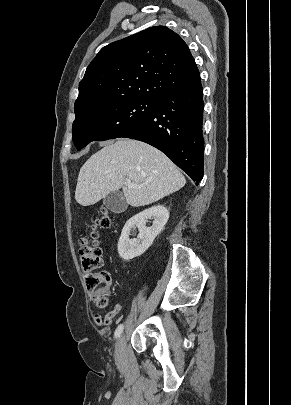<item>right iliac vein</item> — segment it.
I'll return each mask as SVG.
<instances>
[{
  "mask_svg": "<svg viewBox=\"0 0 291 405\" xmlns=\"http://www.w3.org/2000/svg\"><path fill=\"white\" fill-rule=\"evenodd\" d=\"M116 359L118 362H123L125 359V351H126V340L123 335H121L116 343Z\"/></svg>",
  "mask_w": 291,
  "mask_h": 405,
  "instance_id": "obj_1",
  "label": "right iliac vein"
}]
</instances>
